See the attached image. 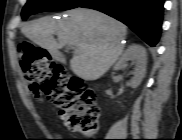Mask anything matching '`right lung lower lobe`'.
<instances>
[{"label": "right lung lower lobe", "mask_w": 182, "mask_h": 140, "mask_svg": "<svg viewBox=\"0 0 182 140\" xmlns=\"http://www.w3.org/2000/svg\"><path fill=\"white\" fill-rule=\"evenodd\" d=\"M164 0H87L79 7L106 13L154 47L161 34Z\"/></svg>", "instance_id": "right-lung-lower-lobe-1"}]
</instances>
